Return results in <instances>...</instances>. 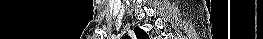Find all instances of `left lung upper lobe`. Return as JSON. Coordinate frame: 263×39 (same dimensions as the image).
<instances>
[{
	"mask_svg": "<svg viewBox=\"0 0 263 39\" xmlns=\"http://www.w3.org/2000/svg\"><path fill=\"white\" fill-rule=\"evenodd\" d=\"M135 35L137 39H149L148 35L139 27L135 28ZM124 38L130 39L128 36H125Z\"/></svg>",
	"mask_w": 263,
	"mask_h": 39,
	"instance_id": "left-lung-upper-lobe-1",
	"label": "left lung upper lobe"
}]
</instances>
